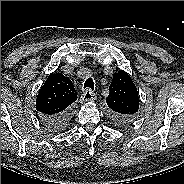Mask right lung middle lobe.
Wrapping results in <instances>:
<instances>
[{
    "instance_id": "1",
    "label": "right lung middle lobe",
    "mask_w": 184,
    "mask_h": 184,
    "mask_svg": "<svg viewBox=\"0 0 184 184\" xmlns=\"http://www.w3.org/2000/svg\"><path fill=\"white\" fill-rule=\"evenodd\" d=\"M67 124H68V122L65 123V124H64L62 127H60V128H53V130H60V129H63Z\"/></svg>"
}]
</instances>
